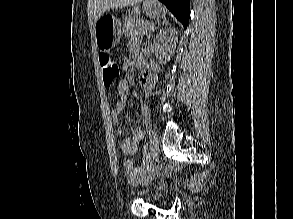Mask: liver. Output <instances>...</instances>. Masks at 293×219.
<instances>
[{
    "label": "liver",
    "instance_id": "1",
    "mask_svg": "<svg viewBox=\"0 0 293 219\" xmlns=\"http://www.w3.org/2000/svg\"><path fill=\"white\" fill-rule=\"evenodd\" d=\"M141 1L142 0H94L93 19L97 21L108 9L136 5Z\"/></svg>",
    "mask_w": 293,
    "mask_h": 219
}]
</instances>
